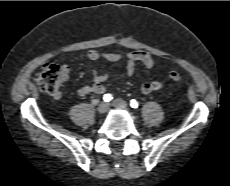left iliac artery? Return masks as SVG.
Instances as JSON below:
<instances>
[{
	"label": "left iliac artery",
	"instance_id": "44dca946",
	"mask_svg": "<svg viewBox=\"0 0 230 186\" xmlns=\"http://www.w3.org/2000/svg\"><path fill=\"white\" fill-rule=\"evenodd\" d=\"M130 106H131L132 108H138L139 103H138L135 99H132V100L130 101Z\"/></svg>",
	"mask_w": 230,
	"mask_h": 186
}]
</instances>
